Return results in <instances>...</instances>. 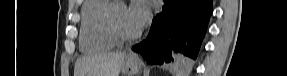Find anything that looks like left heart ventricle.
Masks as SVG:
<instances>
[{"instance_id": "obj_1", "label": "left heart ventricle", "mask_w": 287, "mask_h": 76, "mask_svg": "<svg viewBox=\"0 0 287 76\" xmlns=\"http://www.w3.org/2000/svg\"><path fill=\"white\" fill-rule=\"evenodd\" d=\"M116 12V18L123 30L129 33L137 32L138 29L134 26V24L131 22L129 15H128V9L126 6L119 4L115 8Z\"/></svg>"}]
</instances>
